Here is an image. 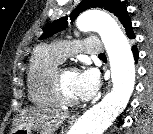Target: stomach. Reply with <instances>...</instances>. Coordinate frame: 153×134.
<instances>
[{"label":"stomach","mask_w":153,"mask_h":134,"mask_svg":"<svg viewBox=\"0 0 153 134\" xmlns=\"http://www.w3.org/2000/svg\"><path fill=\"white\" fill-rule=\"evenodd\" d=\"M33 131H35V129L33 127H29V126L20 127V126H18L12 131V134H33Z\"/></svg>","instance_id":"stomach-1"}]
</instances>
